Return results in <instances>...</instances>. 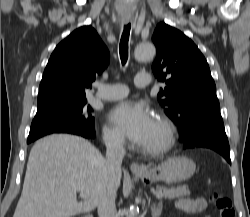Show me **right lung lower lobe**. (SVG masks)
<instances>
[{
    "mask_svg": "<svg viewBox=\"0 0 250 217\" xmlns=\"http://www.w3.org/2000/svg\"><path fill=\"white\" fill-rule=\"evenodd\" d=\"M89 139H94V137H88Z\"/></svg>",
    "mask_w": 250,
    "mask_h": 217,
    "instance_id": "1",
    "label": "right lung lower lobe"
}]
</instances>
